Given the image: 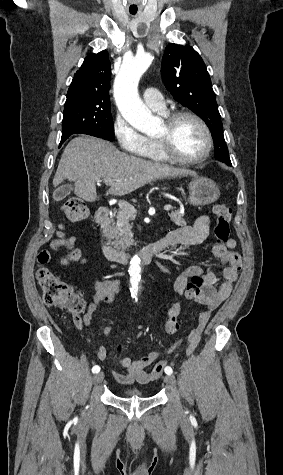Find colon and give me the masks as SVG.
<instances>
[{
    "mask_svg": "<svg viewBox=\"0 0 283 475\" xmlns=\"http://www.w3.org/2000/svg\"><path fill=\"white\" fill-rule=\"evenodd\" d=\"M65 220L70 222H78L85 220L89 215L88 206L79 198H68L62 208ZM213 213L216 219L213 225V234L218 244L226 243L230 238V221L232 217L231 208L224 203H217L213 207ZM54 246L62 249L67 248V242L62 235L54 240ZM80 252L77 249H70L68 255L63 258L65 265L78 261ZM39 259L43 263L50 260L47 252L40 254ZM37 282L42 289L44 303L46 306L61 310L69 317V322L73 327H78L82 320V315L87 308V302L80 291L65 283L57 274L47 268L39 269L36 272ZM192 283L186 286L184 298L188 301H194L196 294L204 288L207 283L205 275L194 274L191 279ZM179 305L174 304L170 307L165 322V330L167 335L175 334L179 329ZM68 325L67 329L71 330L72 326Z\"/></svg>",
    "mask_w": 283,
    "mask_h": 475,
    "instance_id": "colon-1",
    "label": "colon"
}]
</instances>
